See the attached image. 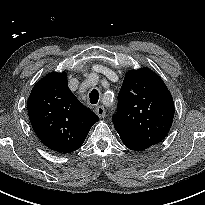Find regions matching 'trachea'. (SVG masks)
I'll return each mask as SVG.
<instances>
[{
  "label": "trachea",
  "mask_w": 205,
  "mask_h": 205,
  "mask_svg": "<svg viewBox=\"0 0 205 205\" xmlns=\"http://www.w3.org/2000/svg\"><path fill=\"white\" fill-rule=\"evenodd\" d=\"M89 100L92 104H97L99 101V92L98 90L94 89L89 94Z\"/></svg>",
  "instance_id": "obj_1"
}]
</instances>
